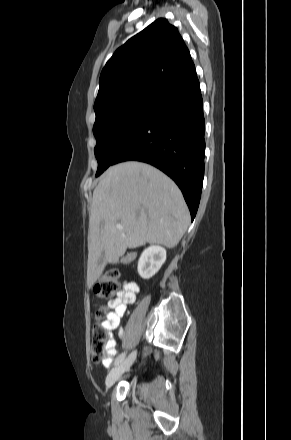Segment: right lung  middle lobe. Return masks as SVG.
<instances>
[{"mask_svg":"<svg viewBox=\"0 0 291 440\" xmlns=\"http://www.w3.org/2000/svg\"><path fill=\"white\" fill-rule=\"evenodd\" d=\"M154 98L139 96L94 109L96 120L93 133L97 141L94 153L98 161L96 177L112 164L119 149L145 118Z\"/></svg>","mask_w":291,"mask_h":440,"instance_id":"obj_1","label":"right lung middle lobe"}]
</instances>
